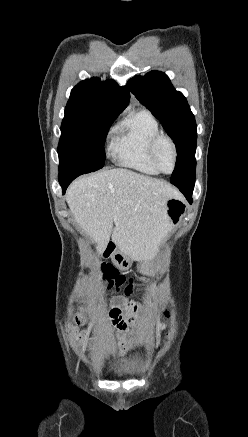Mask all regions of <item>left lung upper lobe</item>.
Returning <instances> with one entry per match:
<instances>
[{
	"label": "left lung upper lobe",
	"instance_id": "left-lung-upper-lobe-1",
	"mask_svg": "<svg viewBox=\"0 0 248 437\" xmlns=\"http://www.w3.org/2000/svg\"><path fill=\"white\" fill-rule=\"evenodd\" d=\"M127 86L163 124L175 143L178 159L171 183L178 188L194 187L197 126L186 98L174 89L168 76L159 71L134 77Z\"/></svg>",
	"mask_w": 248,
	"mask_h": 437
}]
</instances>
